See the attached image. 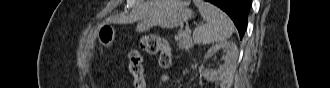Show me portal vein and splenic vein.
<instances>
[{"label":"portal vein and splenic vein","mask_w":330,"mask_h":88,"mask_svg":"<svg viewBox=\"0 0 330 88\" xmlns=\"http://www.w3.org/2000/svg\"><path fill=\"white\" fill-rule=\"evenodd\" d=\"M186 32H189L190 33V30L186 29Z\"/></svg>","instance_id":"1"}]
</instances>
